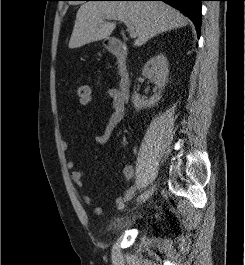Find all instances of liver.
<instances>
[{
  "label": "liver",
  "mask_w": 245,
  "mask_h": 265,
  "mask_svg": "<svg viewBox=\"0 0 245 265\" xmlns=\"http://www.w3.org/2000/svg\"><path fill=\"white\" fill-rule=\"evenodd\" d=\"M113 15L123 16L133 23L137 33L136 47L158 34L188 24L187 17L163 2L88 1L77 11L69 48L107 39L116 25L104 19Z\"/></svg>",
  "instance_id": "1"
}]
</instances>
